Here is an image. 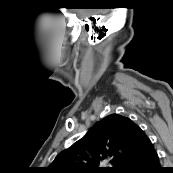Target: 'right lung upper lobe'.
Returning <instances> with one entry per match:
<instances>
[{
    "label": "right lung upper lobe",
    "mask_w": 173,
    "mask_h": 173,
    "mask_svg": "<svg viewBox=\"0 0 173 173\" xmlns=\"http://www.w3.org/2000/svg\"><path fill=\"white\" fill-rule=\"evenodd\" d=\"M152 146L131 119L112 114L96 122L83 138L59 153L47 167V173H119L129 160ZM108 161L112 167L103 166Z\"/></svg>",
    "instance_id": "obj_1"
}]
</instances>
